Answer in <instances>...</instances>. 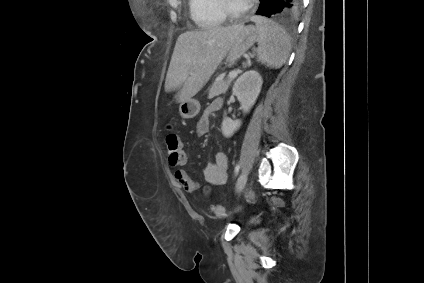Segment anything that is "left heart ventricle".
Masks as SVG:
<instances>
[{
  "label": "left heart ventricle",
  "instance_id": "obj_1",
  "mask_svg": "<svg viewBox=\"0 0 424 283\" xmlns=\"http://www.w3.org/2000/svg\"><path fill=\"white\" fill-rule=\"evenodd\" d=\"M227 3L235 11L242 10L247 4L244 0H227Z\"/></svg>",
  "mask_w": 424,
  "mask_h": 283
}]
</instances>
